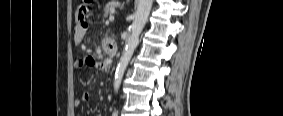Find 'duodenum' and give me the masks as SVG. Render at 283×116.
I'll list each match as a JSON object with an SVG mask.
<instances>
[{
	"label": "duodenum",
	"instance_id": "410a0bca",
	"mask_svg": "<svg viewBox=\"0 0 283 116\" xmlns=\"http://www.w3.org/2000/svg\"><path fill=\"white\" fill-rule=\"evenodd\" d=\"M105 49L107 51V54L109 55L110 58L114 57V55L117 52V47L114 41H111L110 39L106 40L104 42Z\"/></svg>",
	"mask_w": 283,
	"mask_h": 116
}]
</instances>
